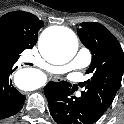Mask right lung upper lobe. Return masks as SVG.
Returning a JSON list of instances; mask_svg holds the SVG:
<instances>
[{"mask_svg": "<svg viewBox=\"0 0 124 124\" xmlns=\"http://www.w3.org/2000/svg\"><path fill=\"white\" fill-rule=\"evenodd\" d=\"M43 26V21L29 12H9L0 17V36L11 42L18 60L25 49H31L36 44L38 31Z\"/></svg>", "mask_w": 124, "mask_h": 124, "instance_id": "cb5924a9", "label": "right lung upper lobe"}]
</instances>
